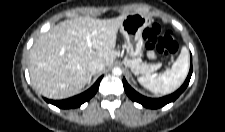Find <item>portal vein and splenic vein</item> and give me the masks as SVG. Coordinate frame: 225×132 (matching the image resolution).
Listing matches in <instances>:
<instances>
[{
    "mask_svg": "<svg viewBox=\"0 0 225 132\" xmlns=\"http://www.w3.org/2000/svg\"><path fill=\"white\" fill-rule=\"evenodd\" d=\"M86 41H87L88 47L91 48L92 47L91 35L86 36ZM159 67H160V65L156 64L152 67L151 71L153 72L154 70L158 69Z\"/></svg>",
    "mask_w": 225,
    "mask_h": 132,
    "instance_id": "18ae733b",
    "label": "portal vein and splenic vein"
}]
</instances>
